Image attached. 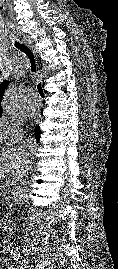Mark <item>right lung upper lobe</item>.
<instances>
[{
  "label": "right lung upper lobe",
  "mask_w": 118,
  "mask_h": 269,
  "mask_svg": "<svg viewBox=\"0 0 118 269\" xmlns=\"http://www.w3.org/2000/svg\"><path fill=\"white\" fill-rule=\"evenodd\" d=\"M9 81H3V83L0 84V102L2 100V96L5 92V89L8 87ZM1 108V106H0Z\"/></svg>",
  "instance_id": "obj_1"
}]
</instances>
